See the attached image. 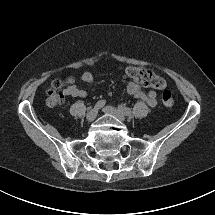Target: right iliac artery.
Masks as SVG:
<instances>
[{"label":"right iliac artery","instance_id":"82829eb1","mask_svg":"<svg viewBox=\"0 0 215 215\" xmlns=\"http://www.w3.org/2000/svg\"><path fill=\"white\" fill-rule=\"evenodd\" d=\"M106 104V101L105 100H99L96 104H95V109H100L102 108L104 105Z\"/></svg>","mask_w":215,"mask_h":215}]
</instances>
